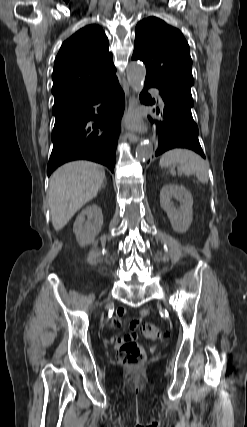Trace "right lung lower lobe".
<instances>
[{
  "label": "right lung lower lobe",
  "mask_w": 247,
  "mask_h": 427,
  "mask_svg": "<svg viewBox=\"0 0 247 427\" xmlns=\"http://www.w3.org/2000/svg\"><path fill=\"white\" fill-rule=\"evenodd\" d=\"M124 103V93L115 80L93 94L54 104L53 150L47 175L79 159L101 163L113 172Z\"/></svg>",
  "instance_id": "obj_1"
}]
</instances>
